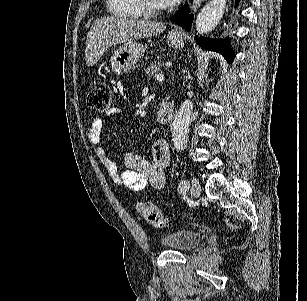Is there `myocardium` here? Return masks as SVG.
I'll return each instance as SVG.
<instances>
[{"label":"myocardium","mask_w":307,"mask_h":301,"mask_svg":"<svg viewBox=\"0 0 307 301\" xmlns=\"http://www.w3.org/2000/svg\"><path fill=\"white\" fill-rule=\"evenodd\" d=\"M137 11L139 17H147L149 20L157 18L160 13L170 12L168 4H156L155 0H138ZM146 3L144 6L143 4Z\"/></svg>","instance_id":"f54148a6"}]
</instances>
